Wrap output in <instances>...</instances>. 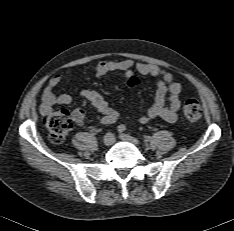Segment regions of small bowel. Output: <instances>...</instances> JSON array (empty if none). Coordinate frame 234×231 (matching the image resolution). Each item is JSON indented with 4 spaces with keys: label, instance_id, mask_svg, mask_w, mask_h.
Returning a JSON list of instances; mask_svg holds the SVG:
<instances>
[{
    "label": "small bowel",
    "instance_id": "obj_1",
    "mask_svg": "<svg viewBox=\"0 0 234 231\" xmlns=\"http://www.w3.org/2000/svg\"><path fill=\"white\" fill-rule=\"evenodd\" d=\"M94 69L96 76L99 78H105L113 72H120L124 79H128L135 71L155 78L157 89L153 104L140 117V122L145 124L157 118L167 122H175L177 120V113L181 107L180 93L182 91V84L175 81L171 73L153 64L144 62L135 63L131 60H101L95 65ZM61 82L62 76L60 74H55L50 78L42 93V113L46 114L50 112L55 104H71L72 97L69 94L57 95L55 92ZM81 97L89 101L105 120H118L119 114L117 110L97 90L84 89L81 91ZM73 116L76 123L81 125L84 121L85 113L83 110L77 109L74 111Z\"/></svg>",
    "mask_w": 234,
    "mask_h": 231
}]
</instances>
